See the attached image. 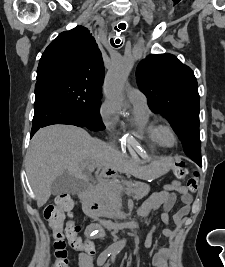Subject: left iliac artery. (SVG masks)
I'll return each instance as SVG.
<instances>
[{
    "label": "left iliac artery",
    "mask_w": 225,
    "mask_h": 267,
    "mask_svg": "<svg viewBox=\"0 0 225 267\" xmlns=\"http://www.w3.org/2000/svg\"><path fill=\"white\" fill-rule=\"evenodd\" d=\"M116 254H117V252H113V253H112V257H111V260H112V261L115 260Z\"/></svg>",
    "instance_id": "1"
}]
</instances>
